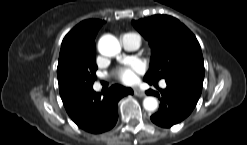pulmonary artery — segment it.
<instances>
[{
    "label": "pulmonary artery",
    "instance_id": "obj_1",
    "mask_svg": "<svg viewBox=\"0 0 247 145\" xmlns=\"http://www.w3.org/2000/svg\"><path fill=\"white\" fill-rule=\"evenodd\" d=\"M121 44L126 51H134L140 46V38L134 33L123 34L120 38ZM165 82H161V86L165 87Z\"/></svg>",
    "mask_w": 247,
    "mask_h": 145
}]
</instances>
